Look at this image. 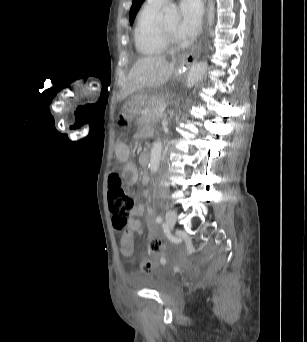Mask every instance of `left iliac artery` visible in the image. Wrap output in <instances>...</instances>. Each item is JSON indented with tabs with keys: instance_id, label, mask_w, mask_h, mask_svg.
I'll return each instance as SVG.
<instances>
[{
	"instance_id": "44dca946",
	"label": "left iliac artery",
	"mask_w": 307,
	"mask_h": 342,
	"mask_svg": "<svg viewBox=\"0 0 307 342\" xmlns=\"http://www.w3.org/2000/svg\"><path fill=\"white\" fill-rule=\"evenodd\" d=\"M156 222H157V223H161V222H162V218H161L160 216H157V217H156Z\"/></svg>"
}]
</instances>
